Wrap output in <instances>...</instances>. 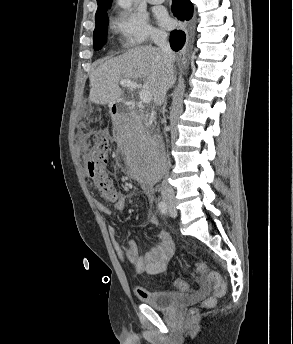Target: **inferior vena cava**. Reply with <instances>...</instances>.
<instances>
[{"label":"inferior vena cava","instance_id":"inferior-vena-cava-1","mask_svg":"<svg viewBox=\"0 0 293 344\" xmlns=\"http://www.w3.org/2000/svg\"><path fill=\"white\" fill-rule=\"evenodd\" d=\"M153 42L159 47L162 55L164 71L168 77L173 74V64L175 61V55L169 45L167 40V34L162 31L154 32L151 36ZM166 93L162 95V99L160 104H164L163 111L165 110L166 100H165ZM161 149H163V144H161ZM161 195L163 198H173L174 191L172 187L168 183V174L167 170L164 176V179L161 184Z\"/></svg>","mask_w":293,"mask_h":344}]
</instances>
